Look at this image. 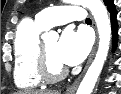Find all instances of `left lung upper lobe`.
Masks as SVG:
<instances>
[{
    "mask_svg": "<svg viewBox=\"0 0 121 94\" xmlns=\"http://www.w3.org/2000/svg\"><path fill=\"white\" fill-rule=\"evenodd\" d=\"M103 1H104L105 5H108L109 3L113 2V0H103Z\"/></svg>",
    "mask_w": 121,
    "mask_h": 94,
    "instance_id": "1",
    "label": "left lung upper lobe"
}]
</instances>
